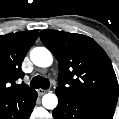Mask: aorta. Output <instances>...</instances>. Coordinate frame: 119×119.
I'll use <instances>...</instances> for the list:
<instances>
[{"label": "aorta", "instance_id": "762f6f07", "mask_svg": "<svg viewBox=\"0 0 119 119\" xmlns=\"http://www.w3.org/2000/svg\"><path fill=\"white\" fill-rule=\"evenodd\" d=\"M30 58L33 64L38 67H49L53 62V57L51 52L45 47H35L30 52ZM58 104V98L53 93H47L42 98V105L46 109H54Z\"/></svg>", "mask_w": 119, "mask_h": 119}]
</instances>
